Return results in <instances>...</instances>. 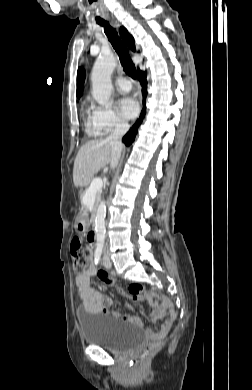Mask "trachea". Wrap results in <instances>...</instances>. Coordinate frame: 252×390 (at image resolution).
<instances>
[{
  "label": "trachea",
  "instance_id": "3493384b",
  "mask_svg": "<svg viewBox=\"0 0 252 390\" xmlns=\"http://www.w3.org/2000/svg\"><path fill=\"white\" fill-rule=\"evenodd\" d=\"M91 1V0H90ZM96 22L104 27V32L108 37V40L112 44L113 48L119 55L120 62L124 68L126 74H128L131 78L136 79V68L134 63L132 62L128 50L121 41L118 36L117 31L112 28L108 22L103 19H96Z\"/></svg>",
  "mask_w": 252,
  "mask_h": 390
}]
</instances>
